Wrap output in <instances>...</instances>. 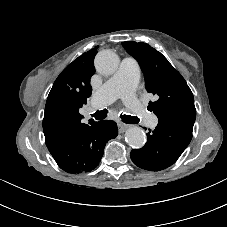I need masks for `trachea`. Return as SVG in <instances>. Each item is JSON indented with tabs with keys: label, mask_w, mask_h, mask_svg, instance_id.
<instances>
[{
	"label": "trachea",
	"mask_w": 227,
	"mask_h": 227,
	"mask_svg": "<svg viewBox=\"0 0 227 227\" xmlns=\"http://www.w3.org/2000/svg\"><path fill=\"white\" fill-rule=\"evenodd\" d=\"M107 113H108L107 109H104V110L95 112L91 116L94 117L96 120H103L107 117ZM122 120L128 124H137L140 121L138 117L125 115V114L122 116Z\"/></svg>",
	"instance_id": "obj_1"
}]
</instances>
